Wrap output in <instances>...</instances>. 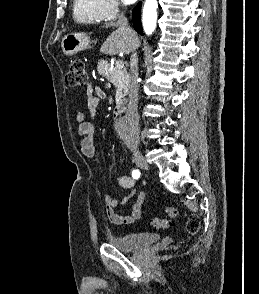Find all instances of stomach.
<instances>
[{
	"mask_svg": "<svg viewBox=\"0 0 259 294\" xmlns=\"http://www.w3.org/2000/svg\"><path fill=\"white\" fill-rule=\"evenodd\" d=\"M91 41L85 33H70L63 37L61 47L65 55L72 56L90 47Z\"/></svg>",
	"mask_w": 259,
	"mask_h": 294,
	"instance_id": "stomach-1",
	"label": "stomach"
}]
</instances>
